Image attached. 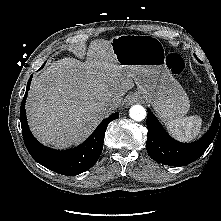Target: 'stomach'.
<instances>
[{
  "label": "stomach",
  "instance_id": "1",
  "mask_svg": "<svg viewBox=\"0 0 221 221\" xmlns=\"http://www.w3.org/2000/svg\"><path fill=\"white\" fill-rule=\"evenodd\" d=\"M110 44L117 62L131 73L137 93L161 120L169 122L188 112L189 98L167 68L164 47L157 38L127 34L113 38Z\"/></svg>",
  "mask_w": 221,
  "mask_h": 221
}]
</instances>
